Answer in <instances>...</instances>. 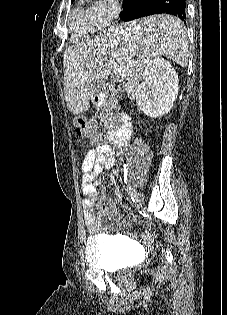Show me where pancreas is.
Returning <instances> with one entry per match:
<instances>
[{"label": "pancreas", "mask_w": 227, "mask_h": 315, "mask_svg": "<svg viewBox=\"0 0 227 315\" xmlns=\"http://www.w3.org/2000/svg\"><path fill=\"white\" fill-rule=\"evenodd\" d=\"M111 102L107 101L103 104L101 108L100 118L101 121L104 123V126L109 128L113 121L112 110L110 107Z\"/></svg>", "instance_id": "obj_1"}]
</instances>
